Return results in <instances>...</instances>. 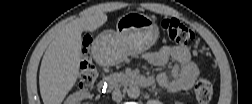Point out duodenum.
<instances>
[{"mask_svg":"<svg viewBox=\"0 0 252 104\" xmlns=\"http://www.w3.org/2000/svg\"><path fill=\"white\" fill-rule=\"evenodd\" d=\"M119 83H123L128 86L148 88L152 86L153 79L142 75L113 74L101 80L99 88L101 91L106 92L109 89L116 87Z\"/></svg>","mask_w":252,"mask_h":104,"instance_id":"1","label":"duodenum"}]
</instances>
